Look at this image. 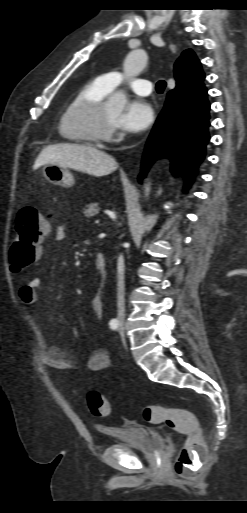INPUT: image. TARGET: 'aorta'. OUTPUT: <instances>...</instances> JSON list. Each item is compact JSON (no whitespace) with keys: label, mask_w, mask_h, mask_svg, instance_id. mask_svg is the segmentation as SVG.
Returning <instances> with one entry per match:
<instances>
[{"label":"aorta","mask_w":247,"mask_h":513,"mask_svg":"<svg viewBox=\"0 0 247 513\" xmlns=\"http://www.w3.org/2000/svg\"><path fill=\"white\" fill-rule=\"evenodd\" d=\"M147 64V54L142 49H137L131 51L125 61H124V74L126 77H134L141 73V71L145 68ZM126 94L124 91L119 90L115 92L113 95L109 98V106L118 110L122 111L126 104ZM146 195L149 194L150 187H146Z\"/></svg>","instance_id":"obj_1"}]
</instances>
